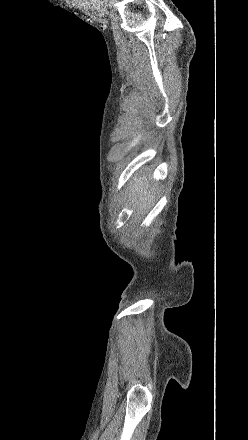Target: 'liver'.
<instances>
[{
	"label": "liver",
	"instance_id": "6515ba94",
	"mask_svg": "<svg viewBox=\"0 0 248 440\" xmlns=\"http://www.w3.org/2000/svg\"><path fill=\"white\" fill-rule=\"evenodd\" d=\"M134 183L130 185L129 200L137 199V211H142L155 199V188H149L147 179L134 177Z\"/></svg>",
	"mask_w": 248,
	"mask_h": 440
}]
</instances>
